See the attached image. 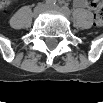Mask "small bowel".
Here are the masks:
<instances>
[{
	"label": "small bowel",
	"mask_w": 103,
	"mask_h": 103,
	"mask_svg": "<svg viewBox=\"0 0 103 103\" xmlns=\"http://www.w3.org/2000/svg\"><path fill=\"white\" fill-rule=\"evenodd\" d=\"M74 4L77 7H88L89 6L88 3L86 1H84V0H76L74 2Z\"/></svg>",
	"instance_id": "c3829d8e"
}]
</instances>
